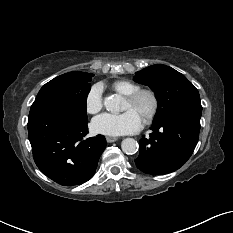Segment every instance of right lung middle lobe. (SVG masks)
I'll return each instance as SVG.
<instances>
[{
    "mask_svg": "<svg viewBox=\"0 0 233 233\" xmlns=\"http://www.w3.org/2000/svg\"><path fill=\"white\" fill-rule=\"evenodd\" d=\"M94 75L69 72L46 83L31 106L29 118L42 111H63L87 120L86 100Z\"/></svg>",
    "mask_w": 233,
    "mask_h": 233,
    "instance_id": "right-lung-middle-lobe-1",
    "label": "right lung middle lobe"
}]
</instances>
